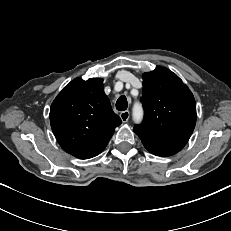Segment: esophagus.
<instances>
[{
  "label": "esophagus",
  "mask_w": 231,
  "mask_h": 231,
  "mask_svg": "<svg viewBox=\"0 0 231 231\" xmlns=\"http://www.w3.org/2000/svg\"><path fill=\"white\" fill-rule=\"evenodd\" d=\"M120 118H121L122 122H127L130 118V112L128 110L121 112Z\"/></svg>",
  "instance_id": "esophagus-1"
}]
</instances>
